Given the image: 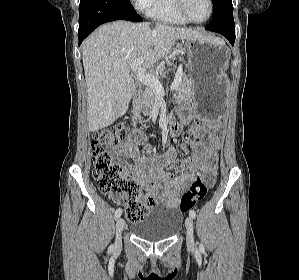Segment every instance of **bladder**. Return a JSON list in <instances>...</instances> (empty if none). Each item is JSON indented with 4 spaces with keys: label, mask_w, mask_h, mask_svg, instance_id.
Returning <instances> with one entry per match:
<instances>
[{
    "label": "bladder",
    "mask_w": 299,
    "mask_h": 280,
    "mask_svg": "<svg viewBox=\"0 0 299 280\" xmlns=\"http://www.w3.org/2000/svg\"><path fill=\"white\" fill-rule=\"evenodd\" d=\"M183 215L177 209H155L147 217L135 222L131 232L136 237L156 242L175 236L181 229Z\"/></svg>",
    "instance_id": "1"
}]
</instances>
